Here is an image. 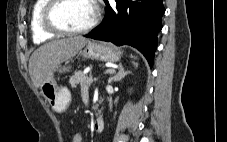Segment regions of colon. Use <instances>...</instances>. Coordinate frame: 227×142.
<instances>
[{"mask_svg": "<svg viewBox=\"0 0 227 142\" xmlns=\"http://www.w3.org/2000/svg\"><path fill=\"white\" fill-rule=\"evenodd\" d=\"M70 142H83V135L80 131H75L71 135Z\"/></svg>", "mask_w": 227, "mask_h": 142, "instance_id": "5ec220e1", "label": "colon"}]
</instances>
